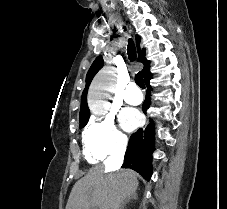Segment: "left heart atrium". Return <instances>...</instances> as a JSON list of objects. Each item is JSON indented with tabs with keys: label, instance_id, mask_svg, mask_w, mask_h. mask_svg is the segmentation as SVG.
<instances>
[{
	"label": "left heart atrium",
	"instance_id": "39dd6f15",
	"mask_svg": "<svg viewBox=\"0 0 227 209\" xmlns=\"http://www.w3.org/2000/svg\"><path fill=\"white\" fill-rule=\"evenodd\" d=\"M119 121L122 128L130 132L139 125L140 114L136 109L126 107L121 111Z\"/></svg>",
	"mask_w": 227,
	"mask_h": 209
}]
</instances>
